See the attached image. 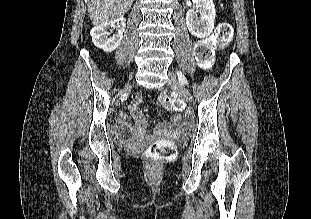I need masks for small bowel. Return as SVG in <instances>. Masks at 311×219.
I'll return each mask as SVG.
<instances>
[{
	"instance_id": "obj_1",
	"label": "small bowel",
	"mask_w": 311,
	"mask_h": 219,
	"mask_svg": "<svg viewBox=\"0 0 311 219\" xmlns=\"http://www.w3.org/2000/svg\"><path fill=\"white\" fill-rule=\"evenodd\" d=\"M142 102L141 95L137 94L131 103L129 104V111L134 119V125L130 131H124L120 133V138L122 141H128V136L131 137L130 142H137L146 137V120L143 113L140 111L139 106ZM121 125H126V116L122 115L120 119ZM187 123L183 117L175 115L171 119L169 125H161L155 133H161L165 131L167 135L173 136L175 138L183 137L187 132Z\"/></svg>"
}]
</instances>
